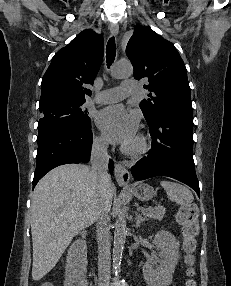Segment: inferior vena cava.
Listing matches in <instances>:
<instances>
[{"label": "inferior vena cava", "instance_id": "602c4592", "mask_svg": "<svg viewBox=\"0 0 231 286\" xmlns=\"http://www.w3.org/2000/svg\"><path fill=\"white\" fill-rule=\"evenodd\" d=\"M107 142L94 140L91 151V170L97 180L96 203L93 209V220L96 222L98 241V277L99 286H110V239L104 217L109 210L104 205L103 186L110 180L107 172L109 155Z\"/></svg>", "mask_w": 231, "mask_h": 286}]
</instances>
